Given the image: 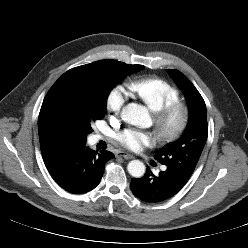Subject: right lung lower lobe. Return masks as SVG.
I'll list each match as a JSON object with an SVG mask.
<instances>
[{"label":"right lung lower lobe","instance_id":"98d812e1","mask_svg":"<svg viewBox=\"0 0 248 248\" xmlns=\"http://www.w3.org/2000/svg\"><path fill=\"white\" fill-rule=\"evenodd\" d=\"M112 158L114 155L109 151L97 153L85 144H79L44 163L60 187L73 194H83L99 184L105 163Z\"/></svg>","mask_w":248,"mask_h":248}]
</instances>
